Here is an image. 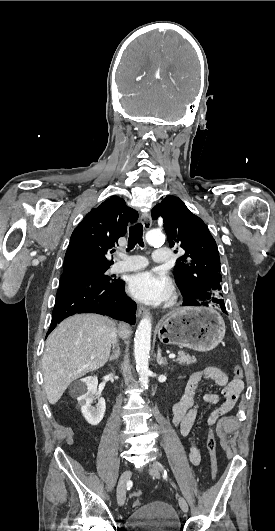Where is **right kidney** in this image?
Returning a JSON list of instances; mask_svg holds the SVG:
<instances>
[{
  "instance_id": "right-kidney-1",
  "label": "right kidney",
  "mask_w": 275,
  "mask_h": 531,
  "mask_svg": "<svg viewBox=\"0 0 275 531\" xmlns=\"http://www.w3.org/2000/svg\"><path fill=\"white\" fill-rule=\"evenodd\" d=\"M97 385V377H85V379L72 383L69 389L71 397H76L84 419L93 427L102 421L106 409L105 399L102 397H97V407H91V403L95 401V395H98Z\"/></svg>"
}]
</instances>
